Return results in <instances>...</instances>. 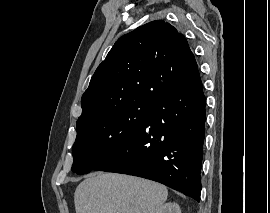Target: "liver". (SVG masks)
<instances>
[{
  "instance_id": "6515ba94",
  "label": "liver",
  "mask_w": 270,
  "mask_h": 213,
  "mask_svg": "<svg viewBox=\"0 0 270 213\" xmlns=\"http://www.w3.org/2000/svg\"><path fill=\"white\" fill-rule=\"evenodd\" d=\"M165 186L115 173H93L76 188V213H156L166 202Z\"/></svg>"
}]
</instances>
